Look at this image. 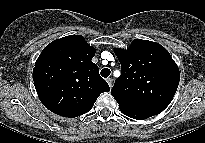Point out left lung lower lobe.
Returning a JSON list of instances; mask_svg holds the SVG:
<instances>
[{"label":"left lung lower lobe","mask_w":205,"mask_h":143,"mask_svg":"<svg viewBox=\"0 0 205 143\" xmlns=\"http://www.w3.org/2000/svg\"><path fill=\"white\" fill-rule=\"evenodd\" d=\"M121 112L125 115H127L128 117L130 118H134V119H137V120H143V119H146V118H149L151 116H154V115H157L160 113V111H139V112H136V111H122Z\"/></svg>","instance_id":"obj_1"}]
</instances>
